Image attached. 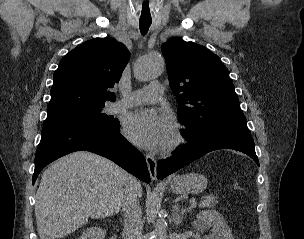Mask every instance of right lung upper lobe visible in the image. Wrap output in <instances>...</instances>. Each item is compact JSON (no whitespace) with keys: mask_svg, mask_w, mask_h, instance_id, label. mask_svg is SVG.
Instances as JSON below:
<instances>
[{"mask_svg":"<svg viewBox=\"0 0 304 239\" xmlns=\"http://www.w3.org/2000/svg\"><path fill=\"white\" fill-rule=\"evenodd\" d=\"M129 57L124 44L112 38H96L73 49L53 75L48 117L114 101L110 88L119 81Z\"/></svg>","mask_w":304,"mask_h":239,"instance_id":"right-lung-upper-lobe-1","label":"right lung upper lobe"}]
</instances>
